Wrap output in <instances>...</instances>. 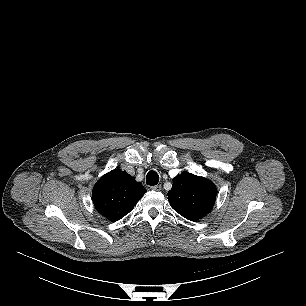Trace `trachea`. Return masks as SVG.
Listing matches in <instances>:
<instances>
[{
    "mask_svg": "<svg viewBox=\"0 0 306 306\" xmlns=\"http://www.w3.org/2000/svg\"><path fill=\"white\" fill-rule=\"evenodd\" d=\"M159 182V175L156 171H149L147 176H146V183L147 185H150V186H154V185H157Z\"/></svg>",
    "mask_w": 306,
    "mask_h": 306,
    "instance_id": "1",
    "label": "trachea"
}]
</instances>
